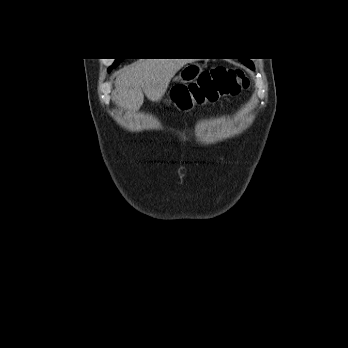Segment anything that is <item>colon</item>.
<instances>
[{
    "instance_id": "1",
    "label": "colon",
    "mask_w": 348,
    "mask_h": 348,
    "mask_svg": "<svg viewBox=\"0 0 348 348\" xmlns=\"http://www.w3.org/2000/svg\"><path fill=\"white\" fill-rule=\"evenodd\" d=\"M248 85V79L242 70L216 66L201 72L195 82L174 88L169 101L178 109H186L197 104L199 98L210 101L236 96L247 89Z\"/></svg>"
}]
</instances>
